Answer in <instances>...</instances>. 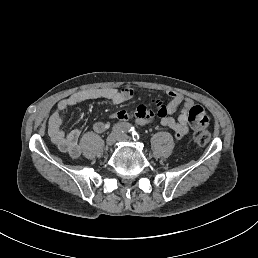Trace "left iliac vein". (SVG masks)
I'll return each instance as SVG.
<instances>
[{"label":"left iliac vein","instance_id":"1","mask_svg":"<svg viewBox=\"0 0 258 258\" xmlns=\"http://www.w3.org/2000/svg\"><path fill=\"white\" fill-rule=\"evenodd\" d=\"M118 141H126V142H128V141H130V136H128V135H126V133H120V134H118Z\"/></svg>","mask_w":258,"mask_h":258}]
</instances>
